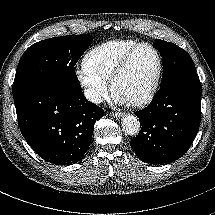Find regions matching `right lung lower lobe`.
Segmentation results:
<instances>
[{"label":"right lung lower lobe","mask_w":215,"mask_h":215,"mask_svg":"<svg viewBox=\"0 0 215 215\" xmlns=\"http://www.w3.org/2000/svg\"><path fill=\"white\" fill-rule=\"evenodd\" d=\"M20 130L45 161L66 165L82 159L96 120L104 115L80 90L45 85L14 98Z\"/></svg>","instance_id":"1"}]
</instances>
